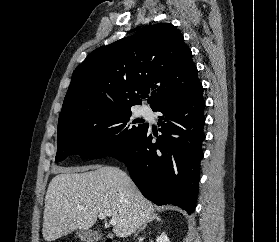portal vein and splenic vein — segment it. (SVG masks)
Masks as SVG:
<instances>
[{
  "label": "portal vein and splenic vein",
  "instance_id": "portal-vein-and-splenic-vein-1",
  "mask_svg": "<svg viewBox=\"0 0 279 242\" xmlns=\"http://www.w3.org/2000/svg\"><path fill=\"white\" fill-rule=\"evenodd\" d=\"M98 217H99V219H102V220H103V219H106V215L103 214V213L98 214ZM116 223H117V222H116L115 219H111V220H110V224H111V225L114 226V225H116Z\"/></svg>",
  "mask_w": 279,
  "mask_h": 242
}]
</instances>
